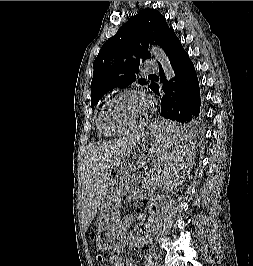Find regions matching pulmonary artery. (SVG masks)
I'll return each instance as SVG.
<instances>
[{
    "mask_svg": "<svg viewBox=\"0 0 253 266\" xmlns=\"http://www.w3.org/2000/svg\"><path fill=\"white\" fill-rule=\"evenodd\" d=\"M145 70H148V71H156L157 70V67L153 63H151V62H147L146 63Z\"/></svg>",
    "mask_w": 253,
    "mask_h": 266,
    "instance_id": "pulmonary-artery-1",
    "label": "pulmonary artery"
}]
</instances>
